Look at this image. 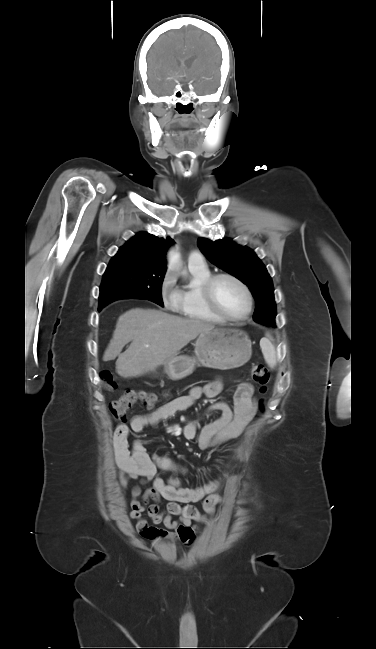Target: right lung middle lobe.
I'll return each mask as SVG.
<instances>
[{"mask_svg":"<svg viewBox=\"0 0 376 649\" xmlns=\"http://www.w3.org/2000/svg\"><path fill=\"white\" fill-rule=\"evenodd\" d=\"M165 271H150L147 263L132 258H112L102 279L99 310L124 298L151 300L160 306Z\"/></svg>","mask_w":376,"mask_h":649,"instance_id":"dd1d6c3e","label":"right lung middle lobe"}]
</instances>
